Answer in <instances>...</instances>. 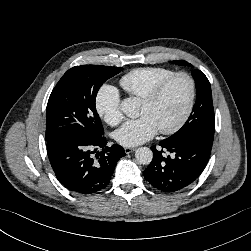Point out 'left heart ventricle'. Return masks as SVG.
<instances>
[{
  "label": "left heart ventricle",
  "instance_id": "1",
  "mask_svg": "<svg viewBox=\"0 0 251 251\" xmlns=\"http://www.w3.org/2000/svg\"><path fill=\"white\" fill-rule=\"evenodd\" d=\"M189 96V86L184 78L175 79L153 104H141L139 115H148L157 128H168L182 116Z\"/></svg>",
  "mask_w": 251,
  "mask_h": 251
}]
</instances>
